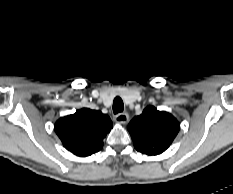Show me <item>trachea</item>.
Masks as SVG:
<instances>
[{
    "mask_svg": "<svg viewBox=\"0 0 233 194\" xmlns=\"http://www.w3.org/2000/svg\"><path fill=\"white\" fill-rule=\"evenodd\" d=\"M124 110V104L120 97H116L113 101V112L114 114H118L123 112Z\"/></svg>",
    "mask_w": 233,
    "mask_h": 194,
    "instance_id": "trachea-1",
    "label": "trachea"
}]
</instances>
